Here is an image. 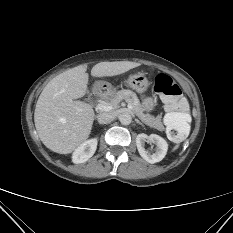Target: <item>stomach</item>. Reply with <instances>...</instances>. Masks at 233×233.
Segmentation results:
<instances>
[{
  "instance_id": "stomach-1",
  "label": "stomach",
  "mask_w": 233,
  "mask_h": 233,
  "mask_svg": "<svg viewBox=\"0 0 233 233\" xmlns=\"http://www.w3.org/2000/svg\"><path fill=\"white\" fill-rule=\"evenodd\" d=\"M125 84L135 90L138 93H143L147 90L149 86V81L147 77L143 73H135L129 75L127 80H125ZM97 86L100 90H106L107 92H111L114 88L110 83L99 81L97 82ZM155 106V100L152 97H147L142 102V108L145 111L153 110Z\"/></svg>"
}]
</instances>
